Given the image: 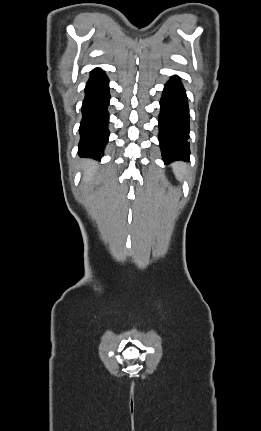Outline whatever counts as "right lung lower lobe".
Listing matches in <instances>:
<instances>
[{
	"instance_id": "obj_1",
	"label": "right lung lower lobe",
	"mask_w": 261,
	"mask_h": 431,
	"mask_svg": "<svg viewBox=\"0 0 261 431\" xmlns=\"http://www.w3.org/2000/svg\"><path fill=\"white\" fill-rule=\"evenodd\" d=\"M109 80L99 68L91 72L85 88L82 105L80 142L78 152L81 156L101 158L108 142Z\"/></svg>"
}]
</instances>
